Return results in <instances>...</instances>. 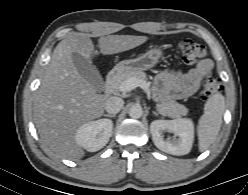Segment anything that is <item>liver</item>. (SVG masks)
<instances>
[{"label":"liver","instance_id":"obj_1","mask_svg":"<svg viewBox=\"0 0 248 195\" xmlns=\"http://www.w3.org/2000/svg\"><path fill=\"white\" fill-rule=\"evenodd\" d=\"M148 40L147 36L108 35L98 40L100 53L111 55L133 49ZM78 53L91 61L98 55L89 34L73 32L55 47L46 74L37 90L33 116L45 145L60 157L84 156L75 134L83 124L102 116L106 99L83 78L73 63Z\"/></svg>","mask_w":248,"mask_h":195}]
</instances>
